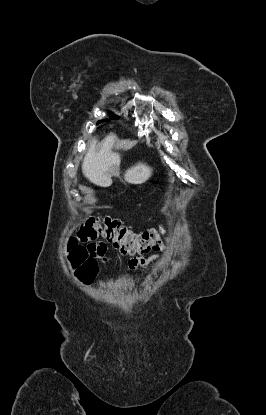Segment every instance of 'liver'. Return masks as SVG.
<instances>
[{"label":"liver","mask_w":266,"mask_h":415,"mask_svg":"<svg viewBox=\"0 0 266 415\" xmlns=\"http://www.w3.org/2000/svg\"><path fill=\"white\" fill-rule=\"evenodd\" d=\"M115 141L116 135L109 134L105 137L99 150H96V138L89 141L88 150L82 163V172L91 183L103 187L112 184L111 176L117 173L121 163L120 154L112 152ZM151 175L152 168L139 162L126 170L124 179L131 184H142Z\"/></svg>","instance_id":"liver-1"}]
</instances>
